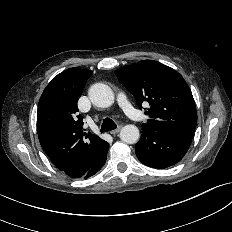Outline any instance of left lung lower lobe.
<instances>
[{"mask_svg":"<svg viewBox=\"0 0 232 232\" xmlns=\"http://www.w3.org/2000/svg\"><path fill=\"white\" fill-rule=\"evenodd\" d=\"M193 133L186 131H154L142 128L135 146L136 156L149 167L164 169L179 162L186 154Z\"/></svg>","mask_w":232,"mask_h":232,"instance_id":"1","label":"left lung lower lobe"}]
</instances>
